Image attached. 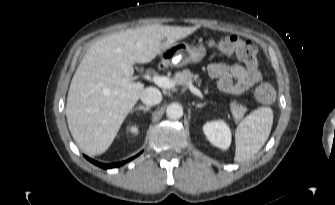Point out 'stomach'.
Wrapping results in <instances>:
<instances>
[{"mask_svg": "<svg viewBox=\"0 0 335 205\" xmlns=\"http://www.w3.org/2000/svg\"><path fill=\"white\" fill-rule=\"evenodd\" d=\"M206 56V48L203 46L191 47L186 43H175L160 54L162 61L180 67L188 63H197Z\"/></svg>", "mask_w": 335, "mask_h": 205, "instance_id": "1", "label": "stomach"}]
</instances>
